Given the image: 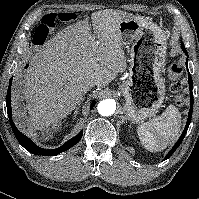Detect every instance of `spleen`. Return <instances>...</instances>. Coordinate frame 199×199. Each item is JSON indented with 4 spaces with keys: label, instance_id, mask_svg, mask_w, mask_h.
I'll return each instance as SVG.
<instances>
[{
    "label": "spleen",
    "instance_id": "1",
    "mask_svg": "<svg viewBox=\"0 0 199 199\" xmlns=\"http://www.w3.org/2000/svg\"><path fill=\"white\" fill-rule=\"evenodd\" d=\"M181 126L179 110L170 105L158 117L138 126L137 134L142 145L150 152H159L173 144Z\"/></svg>",
    "mask_w": 199,
    "mask_h": 199
}]
</instances>
